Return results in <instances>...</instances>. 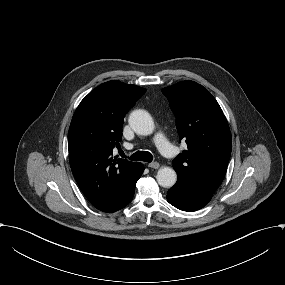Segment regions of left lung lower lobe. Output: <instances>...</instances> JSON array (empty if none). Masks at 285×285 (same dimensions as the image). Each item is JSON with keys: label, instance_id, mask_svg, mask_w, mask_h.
Returning <instances> with one entry per match:
<instances>
[{"label": "left lung lower lobe", "instance_id": "obj_1", "mask_svg": "<svg viewBox=\"0 0 285 285\" xmlns=\"http://www.w3.org/2000/svg\"><path fill=\"white\" fill-rule=\"evenodd\" d=\"M212 195V193L178 178L177 183L168 190L167 201L180 210L194 212L204 207Z\"/></svg>", "mask_w": 285, "mask_h": 285}]
</instances>
